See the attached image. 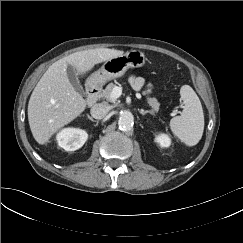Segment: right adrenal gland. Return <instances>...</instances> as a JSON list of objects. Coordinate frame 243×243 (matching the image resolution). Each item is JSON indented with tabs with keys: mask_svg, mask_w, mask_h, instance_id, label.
Segmentation results:
<instances>
[{
	"mask_svg": "<svg viewBox=\"0 0 243 243\" xmlns=\"http://www.w3.org/2000/svg\"><path fill=\"white\" fill-rule=\"evenodd\" d=\"M88 119H90L93 122H96L89 114H87Z\"/></svg>",
	"mask_w": 243,
	"mask_h": 243,
	"instance_id": "1",
	"label": "right adrenal gland"
}]
</instances>
